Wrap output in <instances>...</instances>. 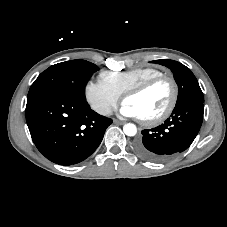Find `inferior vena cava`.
<instances>
[{"instance_id": "obj_1", "label": "inferior vena cava", "mask_w": 227, "mask_h": 227, "mask_svg": "<svg viewBox=\"0 0 227 227\" xmlns=\"http://www.w3.org/2000/svg\"><path fill=\"white\" fill-rule=\"evenodd\" d=\"M100 114L102 115H111L112 109L110 107H104L100 110Z\"/></svg>"}]
</instances>
